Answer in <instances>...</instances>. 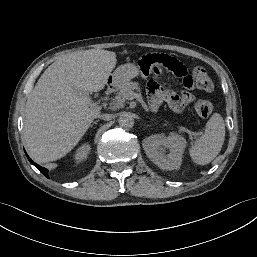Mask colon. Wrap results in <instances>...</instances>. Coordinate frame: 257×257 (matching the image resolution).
Returning a JSON list of instances; mask_svg holds the SVG:
<instances>
[{"label":"colon","mask_w":257,"mask_h":257,"mask_svg":"<svg viewBox=\"0 0 257 257\" xmlns=\"http://www.w3.org/2000/svg\"><path fill=\"white\" fill-rule=\"evenodd\" d=\"M192 76L195 79L197 89L206 92H210L213 89V82L203 67H195ZM195 110L200 117L209 118L214 112V104L208 100H199L195 105Z\"/></svg>","instance_id":"1"}]
</instances>
